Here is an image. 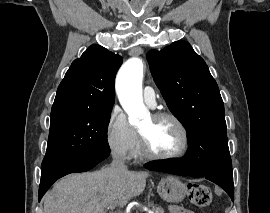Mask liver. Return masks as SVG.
Wrapping results in <instances>:
<instances>
[{"label":"liver","mask_w":270,"mask_h":213,"mask_svg":"<svg viewBox=\"0 0 270 213\" xmlns=\"http://www.w3.org/2000/svg\"><path fill=\"white\" fill-rule=\"evenodd\" d=\"M148 172H119L111 167L71 174L57 182L44 197V213H105L115 203L124 207L140 195Z\"/></svg>","instance_id":"6515ba94"}]
</instances>
